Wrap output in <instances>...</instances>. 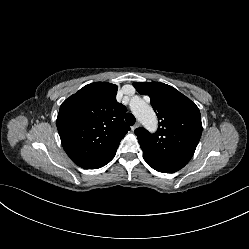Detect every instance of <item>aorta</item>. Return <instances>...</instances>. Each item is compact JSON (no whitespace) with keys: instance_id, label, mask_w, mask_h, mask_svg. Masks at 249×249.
Here are the masks:
<instances>
[{"instance_id":"obj_1","label":"aorta","mask_w":249,"mask_h":249,"mask_svg":"<svg viewBox=\"0 0 249 249\" xmlns=\"http://www.w3.org/2000/svg\"><path fill=\"white\" fill-rule=\"evenodd\" d=\"M135 117L149 130L154 131L157 127V117L150 105L142 99H138L131 105Z\"/></svg>"}]
</instances>
